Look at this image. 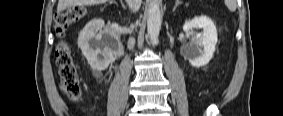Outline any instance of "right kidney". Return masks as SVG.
Here are the masks:
<instances>
[{"label": "right kidney", "instance_id": "1", "mask_svg": "<svg viewBox=\"0 0 283 116\" xmlns=\"http://www.w3.org/2000/svg\"><path fill=\"white\" fill-rule=\"evenodd\" d=\"M78 46L93 70L103 71L122 55L120 37L106 27L104 20L93 19L81 30Z\"/></svg>", "mask_w": 283, "mask_h": 116}]
</instances>
